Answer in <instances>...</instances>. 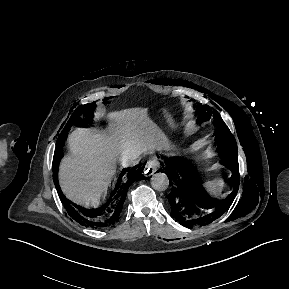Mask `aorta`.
Masks as SVG:
<instances>
[{
	"label": "aorta",
	"instance_id": "762f6f07",
	"mask_svg": "<svg viewBox=\"0 0 289 289\" xmlns=\"http://www.w3.org/2000/svg\"><path fill=\"white\" fill-rule=\"evenodd\" d=\"M151 186L156 191H165L169 187V179L164 173H156L151 177Z\"/></svg>",
	"mask_w": 289,
	"mask_h": 289
}]
</instances>
